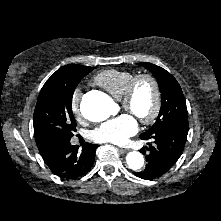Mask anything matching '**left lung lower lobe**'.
<instances>
[{
    "label": "left lung lower lobe",
    "mask_w": 221,
    "mask_h": 221,
    "mask_svg": "<svg viewBox=\"0 0 221 221\" xmlns=\"http://www.w3.org/2000/svg\"><path fill=\"white\" fill-rule=\"evenodd\" d=\"M188 130V123H179L151 134H141V139L152 140L153 145L141 149L147 165L144 170L133 174L152 180L167 173L183 153Z\"/></svg>",
    "instance_id": "left-lung-lower-lobe-1"
}]
</instances>
